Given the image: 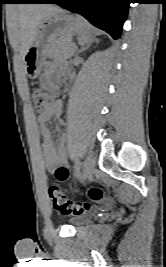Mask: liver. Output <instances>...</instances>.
Here are the masks:
<instances>
[{
    "label": "liver",
    "instance_id": "6515ba94",
    "mask_svg": "<svg viewBox=\"0 0 166 267\" xmlns=\"http://www.w3.org/2000/svg\"><path fill=\"white\" fill-rule=\"evenodd\" d=\"M57 11H60L58 7L48 4L18 6L17 26L13 33V39L23 58L36 37L40 22Z\"/></svg>",
    "mask_w": 166,
    "mask_h": 267
}]
</instances>
